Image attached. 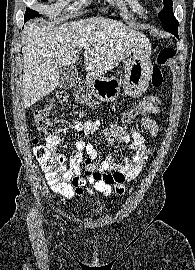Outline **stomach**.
I'll use <instances>...</instances> for the list:
<instances>
[{
	"label": "stomach",
	"instance_id": "obj_1",
	"mask_svg": "<svg viewBox=\"0 0 195 270\" xmlns=\"http://www.w3.org/2000/svg\"><path fill=\"white\" fill-rule=\"evenodd\" d=\"M150 55L151 44L145 38L126 58L122 80L125 94L138 97L147 89L152 73ZM88 84L93 94L102 101L115 102L120 94L121 82L114 78L91 76Z\"/></svg>",
	"mask_w": 195,
	"mask_h": 270
}]
</instances>
